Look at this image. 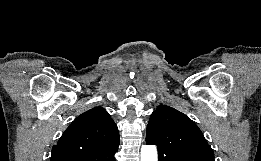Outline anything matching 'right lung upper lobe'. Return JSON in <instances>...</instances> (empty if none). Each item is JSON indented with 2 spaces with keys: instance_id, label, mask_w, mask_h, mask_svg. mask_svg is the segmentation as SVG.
<instances>
[{
  "instance_id": "obj_1",
  "label": "right lung upper lobe",
  "mask_w": 261,
  "mask_h": 161,
  "mask_svg": "<svg viewBox=\"0 0 261 161\" xmlns=\"http://www.w3.org/2000/svg\"><path fill=\"white\" fill-rule=\"evenodd\" d=\"M116 124L102 107H94L78 116L52 148L50 161H71L80 156L98 154L118 147Z\"/></svg>"
}]
</instances>
